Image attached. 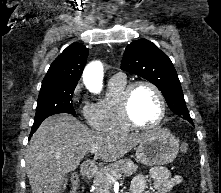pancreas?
Listing matches in <instances>:
<instances>
[{
	"label": "pancreas",
	"mask_w": 221,
	"mask_h": 193,
	"mask_svg": "<svg viewBox=\"0 0 221 193\" xmlns=\"http://www.w3.org/2000/svg\"><path fill=\"white\" fill-rule=\"evenodd\" d=\"M137 168L138 166L130 159H122L100 169L94 174L93 185L95 190L93 193H108L111 186V181L107 177L108 174L113 176L115 180L122 179L134 174Z\"/></svg>",
	"instance_id": "1"
}]
</instances>
